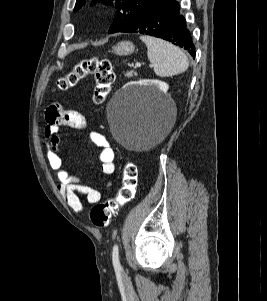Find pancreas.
Segmentation results:
<instances>
[{"label": "pancreas", "mask_w": 267, "mask_h": 301, "mask_svg": "<svg viewBox=\"0 0 267 301\" xmlns=\"http://www.w3.org/2000/svg\"><path fill=\"white\" fill-rule=\"evenodd\" d=\"M133 75H137V73L136 72H134V71H129V72H127V73H125V76L126 77H128V78H131V77H133Z\"/></svg>", "instance_id": "obj_1"}]
</instances>
